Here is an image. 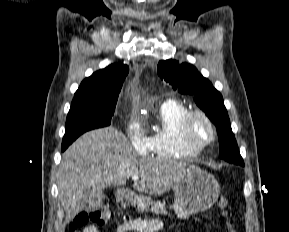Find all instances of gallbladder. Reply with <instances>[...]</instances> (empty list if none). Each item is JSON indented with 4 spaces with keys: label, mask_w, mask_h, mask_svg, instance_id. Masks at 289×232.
Instances as JSON below:
<instances>
[{
    "label": "gallbladder",
    "mask_w": 289,
    "mask_h": 232,
    "mask_svg": "<svg viewBox=\"0 0 289 232\" xmlns=\"http://www.w3.org/2000/svg\"><path fill=\"white\" fill-rule=\"evenodd\" d=\"M104 198L103 191L91 188L89 191L84 192L83 210L87 212L99 210L103 206Z\"/></svg>",
    "instance_id": "gallbladder-1"
}]
</instances>
